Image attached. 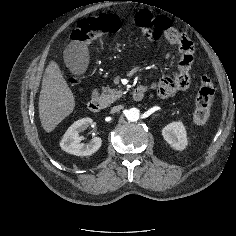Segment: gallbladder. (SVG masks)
<instances>
[{
	"instance_id": "bac80fb5",
	"label": "gallbladder",
	"mask_w": 236,
	"mask_h": 236,
	"mask_svg": "<svg viewBox=\"0 0 236 236\" xmlns=\"http://www.w3.org/2000/svg\"><path fill=\"white\" fill-rule=\"evenodd\" d=\"M66 67L75 75L84 74L89 64L87 47L81 42H71L63 53Z\"/></svg>"
}]
</instances>
